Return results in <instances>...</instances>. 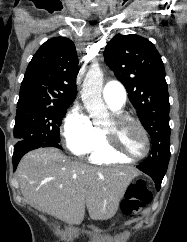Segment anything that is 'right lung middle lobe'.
<instances>
[{"mask_svg": "<svg viewBox=\"0 0 187 242\" xmlns=\"http://www.w3.org/2000/svg\"><path fill=\"white\" fill-rule=\"evenodd\" d=\"M67 108L21 107L17 108L14 137L60 143V126Z\"/></svg>", "mask_w": 187, "mask_h": 242, "instance_id": "dd1d6c3e", "label": "right lung middle lobe"}]
</instances>
